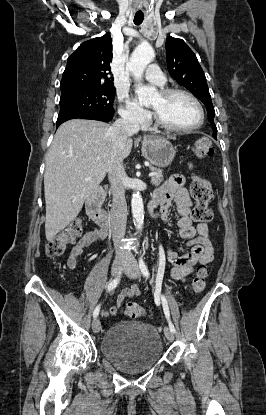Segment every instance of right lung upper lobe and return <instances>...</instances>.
Segmentation results:
<instances>
[{
    "label": "right lung upper lobe",
    "mask_w": 266,
    "mask_h": 415,
    "mask_svg": "<svg viewBox=\"0 0 266 415\" xmlns=\"http://www.w3.org/2000/svg\"><path fill=\"white\" fill-rule=\"evenodd\" d=\"M111 45L109 34L82 43L68 57L61 80V92L84 87L113 86Z\"/></svg>",
    "instance_id": "obj_1"
}]
</instances>
